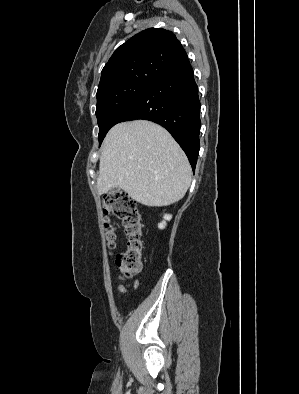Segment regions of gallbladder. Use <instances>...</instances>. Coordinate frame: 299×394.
Returning <instances> with one entry per match:
<instances>
[{"mask_svg":"<svg viewBox=\"0 0 299 394\" xmlns=\"http://www.w3.org/2000/svg\"><path fill=\"white\" fill-rule=\"evenodd\" d=\"M114 191H119V188H115Z\"/></svg>","mask_w":299,"mask_h":394,"instance_id":"gallbladder-1","label":"gallbladder"}]
</instances>
